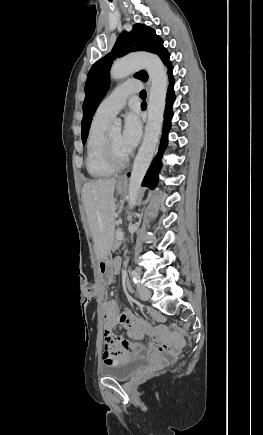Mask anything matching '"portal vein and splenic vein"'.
Returning a JSON list of instances; mask_svg holds the SVG:
<instances>
[{"instance_id":"18ae733b","label":"portal vein and splenic vein","mask_w":263,"mask_h":435,"mask_svg":"<svg viewBox=\"0 0 263 435\" xmlns=\"http://www.w3.org/2000/svg\"><path fill=\"white\" fill-rule=\"evenodd\" d=\"M123 235H124V232L123 231H119V232H117L116 237L118 239H121L123 237Z\"/></svg>"}]
</instances>
